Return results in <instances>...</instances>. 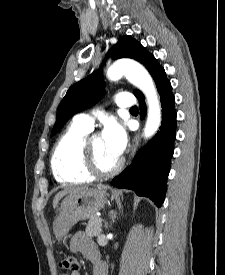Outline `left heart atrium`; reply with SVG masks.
<instances>
[{
	"mask_svg": "<svg viewBox=\"0 0 225 275\" xmlns=\"http://www.w3.org/2000/svg\"><path fill=\"white\" fill-rule=\"evenodd\" d=\"M102 140L109 154L119 159L127 143L125 129L116 121H109L103 129Z\"/></svg>",
	"mask_w": 225,
	"mask_h": 275,
	"instance_id": "left-heart-atrium-1",
	"label": "left heart atrium"
}]
</instances>
